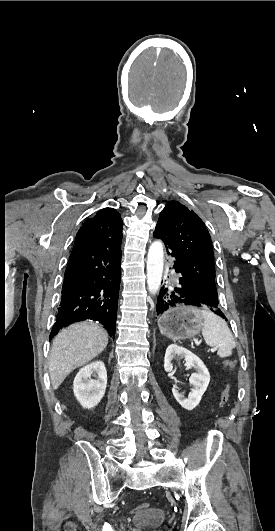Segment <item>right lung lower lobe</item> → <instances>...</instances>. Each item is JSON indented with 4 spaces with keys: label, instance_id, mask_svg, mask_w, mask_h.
<instances>
[{
    "label": "right lung lower lobe",
    "instance_id": "98d812e1",
    "mask_svg": "<svg viewBox=\"0 0 275 531\" xmlns=\"http://www.w3.org/2000/svg\"><path fill=\"white\" fill-rule=\"evenodd\" d=\"M121 239L103 238L73 248L62 286L61 304L50 333L87 319L115 335L121 278Z\"/></svg>",
    "mask_w": 275,
    "mask_h": 531
}]
</instances>
